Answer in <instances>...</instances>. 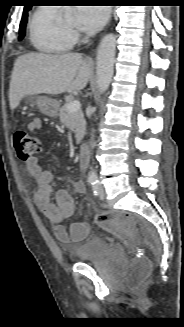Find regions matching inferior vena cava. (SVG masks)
I'll list each match as a JSON object with an SVG mask.
<instances>
[{
  "label": "inferior vena cava",
  "instance_id": "1",
  "mask_svg": "<svg viewBox=\"0 0 184 327\" xmlns=\"http://www.w3.org/2000/svg\"><path fill=\"white\" fill-rule=\"evenodd\" d=\"M92 139H93V134H92V137H91V147H93Z\"/></svg>",
  "mask_w": 184,
  "mask_h": 327
}]
</instances>
